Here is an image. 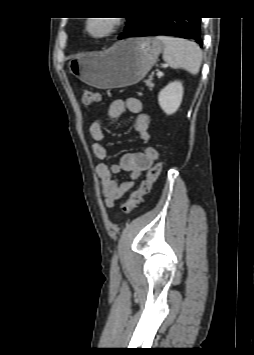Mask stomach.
Segmentation results:
<instances>
[{
	"instance_id": "stomach-1",
	"label": "stomach",
	"mask_w": 254,
	"mask_h": 355,
	"mask_svg": "<svg viewBox=\"0 0 254 355\" xmlns=\"http://www.w3.org/2000/svg\"><path fill=\"white\" fill-rule=\"evenodd\" d=\"M163 43L153 37L128 38L104 53H85L68 62L71 74L101 89L121 88L141 81L156 62Z\"/></svg>"
}]
</instances>
